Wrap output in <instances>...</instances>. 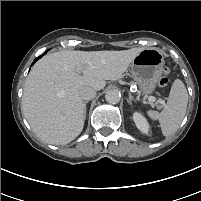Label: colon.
Returning a JSON list of instances; mask_svg holds the SVG:
<instances>
[{
	"label": "colon",
	"instance_id": "colon-1",
	"mask_svg": "<svg viewBox=\"0 0 201 201\" xmlns=\"http://www.w3.org/2000/svg\"><path fill=\"white\" fill-rule=\"evenodd\" d=\"M168 74H169V70L166 69L164 71V74L162 75V77L160 78L159 82H158V85L160 87H165L167 84H168Z\"/></svg>",
	"mask_w": 201,
	"mask_h": 201
}]
</instances>
